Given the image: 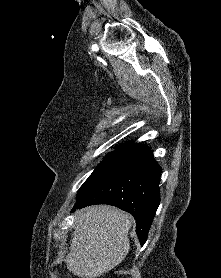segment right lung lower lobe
<instances>
[{
	"instance_id": "right-lung-lower-lobe-1",
	"label": "right lung lower lobe",
	"mask_w": 221,
	"mask_h": 278,
	"mask_svg": "<svg viewBox=\"0 0 221 278\" xmlns=\"http://www.w3.org/2000/svg\"><path fill=\"white\" fill-rule=\"evenodd\" d=\"M135 150L131 163L91 189L73 211L93 204H109L127 211L136 220V233L143 246L160 203L161 167L150 148Z\"/></svg>"
}]
</instances>
